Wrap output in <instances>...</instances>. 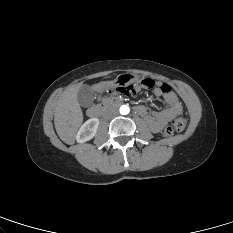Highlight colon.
<instances>
[{"instance_id": "obj_1", "label": "colon", "mask_w": 233, "mask_h": 233, "mask_svg": "<svg viewBox=\"0 0 233 233\" xmlns=\"http://www.w3.org/2000/svg\"><path fill=\"white\" fill-rule=\"evenodd\" d=\"M142 86L145 88H153L156 82L153 79L146 78L142 81ZM163 91H168L169 87L167 85L162 86ZM119 95L131 96L136 93V87L126 86L125 88L120 89L118 92ZM187 126V118L184 116H178L172 120L170 125H168L164 131L166 136H171L176 132H181Z\"/></svg>"}]
</instances>
